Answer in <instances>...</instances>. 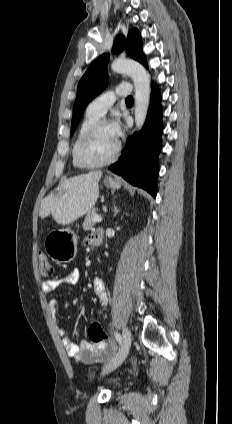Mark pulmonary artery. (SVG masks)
I'll list each match as a JSON object with an SVG mask.
<instances>
[{"instance_id": "e3ab8cb5", "label": "pulmonary artery", "mask_w": 232, "mask_h": 424, "mask_svg": "<svg viewBox=\"0 0 232 424\" xmlns=\"http://www.w3.org/2000/svg\"><path fill=\"white\" fill-rule=\"evenodd\" d=\"M130 93V84L121 83L115 89L108 90L99 95L97 98H95L88 105L87 110L95 115L103 116L118 97H125L128 96Z\"/></svg>"}]
</instances>
